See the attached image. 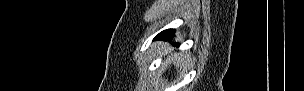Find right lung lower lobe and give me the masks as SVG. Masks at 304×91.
I'll use <instances>...</instances> for the list:
<instances>
[{"mask_svg":"<svg viewBox=\"0 0 304 91\" xmlns=\"http://www.w3.org/2000/svg\"><path fill=\"white\" fill-rule=\"evenodd\" d=\"M174 35V30L173 29H167V30H164L162 31L161 33H159L155 39H169L171 38L172 36Z\"/></svg>","mask_w":304,"mask_h":91,"instance_id":"98d812e1","label":"right lung lower lobe"}]
</instances>
